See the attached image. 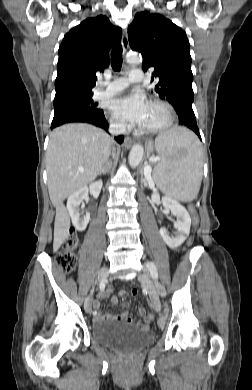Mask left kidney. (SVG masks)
<instances>
[{
  "label": "left kidney",
  "mask_w": 252,
  "mask_h": 390,
  "mask_svg": "<svg viewBox=\"0 0 252 390\" xmlns=\"http://www.w3.org/2000/svg\"><path fill=\"white\" fill-rule=\"evenodd\" d=\"M151 202L156 205L162 203L165 209L170 210L172 215L176 216L177 220L174 222V227L177 229V232L175 235L170 236L166 228L160 229V235L169 248L175 249L179 247L190 232L191 218L189 213L178 201L170 197L164 196L160 200L159 194L155 191L151 196Z\"/></svg>",
  "instance_id": "left-kidney-1"
}]
</instances>
